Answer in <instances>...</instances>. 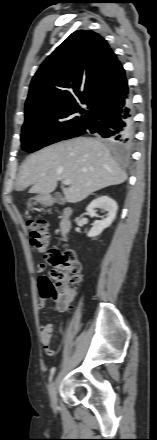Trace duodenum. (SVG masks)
Instances as JSON below:
<instances>
[{
  "mask_svg": "<svg viewBox=\"0 0 157 440\" xmlns=\"http://www.w3.org/2000/svg\"><path fill=\"white\" fill-rule=\"evenodd\" d=\"M72 215V210L66 208L62 214V217L59 222V231L63 236H66L71 228L70 217Z\"/></svg>",
  "mask_w": 157,
  "mask_h": 440,
  "instance_id": "obj_1",
  "label": "duodenum"
}]
</instances>
